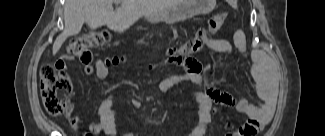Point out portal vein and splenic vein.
<instances>
[{
  "mask_svg": "<svg viewBox=\"0 0 325 136\" xmlns=\"http://www.w3.org/2000/svg\"><path fill=\"white\" fill-rule=\"evenodd\" d=\"M116 3H119V0H115Z\"/></svg>",
  "mask_w": 325,
  "mask_h": 136,
  "instance_id": "portal-vein-and-splenic-vein-1",
  "label": "portal vein and splenic vein"
}]
</instances>
